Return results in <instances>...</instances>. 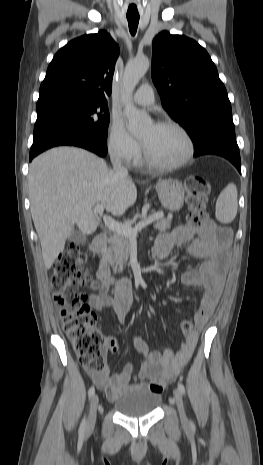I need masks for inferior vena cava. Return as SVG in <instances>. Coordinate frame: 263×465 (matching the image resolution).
I'll use <instances>...</instances> for the list:
<instances>
[{
    "mask_svg": "<svg viewBox=\"0 0 263 465\" xmlns=\"http://www.w3.org/2000/svg\"><path fill=\"white\" fill-rule=\"evenodd\" d=\"M114 173L121 178H128V170L121 164L120 155L116 152L110 154Z\"/></svg>",
    "mask_w": 263,
    "mask_h": 465,
    "instance_id": "inferior-vena-cava-1",
    "label": "inferior vena cava"
}]
</instances>
